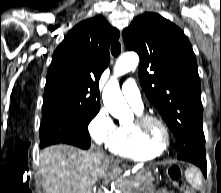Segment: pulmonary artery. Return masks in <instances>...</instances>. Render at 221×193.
Here are the masks:
<instances>
[{"label": "pulmonary artery", "mask_w": 221, "mask_h": 193, "mask_svg": "<svg viewBox=\"0 0 221 193\" xmlns=\"http://www.w3.org/2000/svg\"><path fill=\"white\" fill-rule=\"evenodd\" d=\"M122 94L129 104L137 111L143 110L140 91L133 78H128L122 85Z\"/></svg>", "instance_id": "pulmonary-artery-1"}]
</instances>
